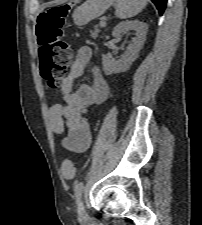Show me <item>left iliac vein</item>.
I'll list each match as a JSON object with an SVG mask.
<instances>
[{
  "instance_id": "1",
  "label": "left iliac vein",
  "mask_w": 202,
  "mask_h": 225,
  "mask_svg": "<svg viewBox=\"0 0 202 225\" xmlns=\"http://www.w3.org/2000/svg\"><path fill=\"white\" fill-rule=\"evenodd\" d=\"M78 217L80 221H84L87 217V213L85 211V207L82 200L78 202Z\"/></svg>"
}]
</instances>
